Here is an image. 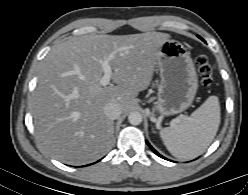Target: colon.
<instances>
[{
  "label": "colon",
  "mask_w": 248,
  "mask_h": 195,
  "mask_svg": "<svg viewBox=\"0 0 248 195\" xmlns=\"http://www.w3.org/2000/svg\"><path fill=\"white\" fill-rule=\"evenodd\" d=\"M196 64L201 78V83L205 87H210L214 81V65L204 55L196 58Z\"/></svg>",
  "instance_id": "colon-1"
}]
</instances>
